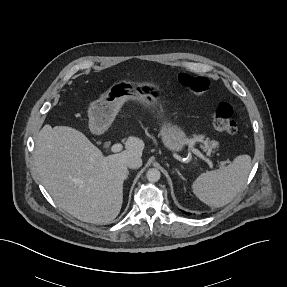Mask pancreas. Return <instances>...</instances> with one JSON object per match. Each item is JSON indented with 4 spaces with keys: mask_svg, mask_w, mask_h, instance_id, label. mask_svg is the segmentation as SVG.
Masks as SVG:
<instances>
[{
    "mask_svg": "<svg viewBox=\"0 0 287 287\" xmlns=\"http://www.w3.org/2000/svg\"><path fill=\"white\" fill-rule=\"evenodd\" d=\"M204 138H205L204 135H195L193 138L187 139V143L193 144L197 141H200L204 144V147H203L204 150H207L208 152H212V149L217 147L218 142L210 141L208 140V138L204 140Z\"/></svg>",
    "mask_w": 287,
    "mask_h": 287,
    "instance_id": "pancreas-1",
    "label": "pancreas"
}]
</instances>
